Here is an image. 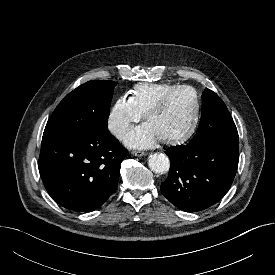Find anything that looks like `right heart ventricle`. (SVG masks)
I'll return each instance as SVG.
<instances>
[{
	"mask_svg": "<svg viewBox=\"0 0 275 275\" xmlns=\"http://www.w3.org/2000/svg\"><path fill=\"white\" fill-rule=\"evenodd\" d=\"M177 85L170 83H141L130 90V100L135 108L145 115L149 108L167 91Z\"/></svg>",
	"mask_w": 275,
	"mask_h": 275,
	"instance_id": "1",
	"label": "right heart ventricle"
}]
</instances>
